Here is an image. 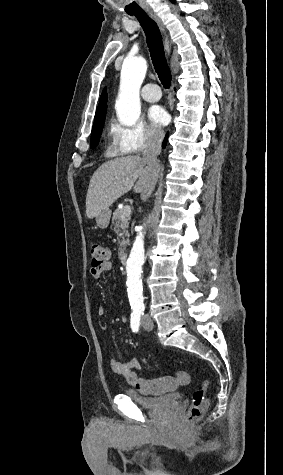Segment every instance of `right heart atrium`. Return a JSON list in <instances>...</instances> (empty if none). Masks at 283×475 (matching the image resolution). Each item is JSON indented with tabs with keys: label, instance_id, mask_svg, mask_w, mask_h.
<instances>
[{
	"label": "right heart atrium",
	"instance_id": "1",
	"mask_svg": "<svg viewBox=\"0 0 283 475\" xmlns=\"http://www.w3.org/2000/svg\"><path fill=\"white\" fill-rule=\"evenodd\" d=\"M162 143V132L142 121L130 127L115 122L111 125L106 151L110 157L119 159V155H144L155 151Z\"/></svg>",
	"mask_w": 283,
	"mask_h": 475
}]
</instances>
